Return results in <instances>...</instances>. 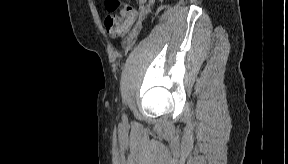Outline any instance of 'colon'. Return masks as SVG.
<instances>
[{
	"instance_id": "obj_1",
	"label": "colon",
	"mask_w": 288,
	"mask_h": 164,
	"mask_svg": "<svg viewBox=\"0 0 288 164\" xmlns=\"http://www.w3.org/2000/svg\"><path fill=\"white\" fill-rule=\"evenodd\" d=\"M109 8L114 14L104 19V28L111 38H120L127 34L135 21L136 9L129 4H122L117 0L109 2ZM117 12V13H115Z\"/></svg>"
}]
</instances>
